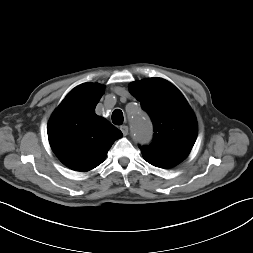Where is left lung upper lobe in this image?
Here are the masks:
<instances>
[{"mask_svg":"<svg viewBox=\"0 0 253 253\" xmlns=\"http://www.w3.org/2000/svg\"><path fill=\"white\" fill-rule=\"evenodd\" d=\"M130 93L150 115L153 142L140 147L143 158L160 168H171L190 153L197 137V121L180 91L162 78L132 82Z\"/></svg>","mask_w":253,"mask_h":253,"instance_id":"1","label":"left lung upper lobe"}]
</instances>
